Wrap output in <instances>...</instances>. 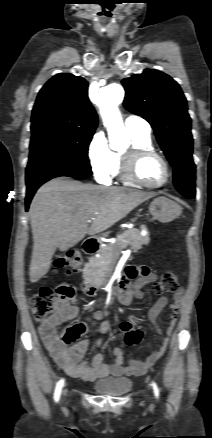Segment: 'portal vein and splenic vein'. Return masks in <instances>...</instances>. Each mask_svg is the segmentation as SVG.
Returning a JSON list of instances; mask_svg holds the SVG:
<instances>
[{
	"instance_id": "18ae733b",
	"label": "portal vein and splenic vein",
	"mask_w": 212,
	"mask_h": 438,
	"mask_svg": "<svg viewBox=\"0 0 212 438\" xmlns=\"http://www.w3.org/2000/svg\"><path fill=\"white\" fill-rule=\"evenodd\" d=\"M94 219H95V217H91V218H90V220H94Z\"/></svg>"
}]
</instances>
